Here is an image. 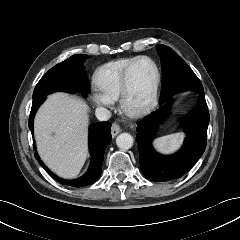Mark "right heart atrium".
Instances as JSON below:
<instances>
[{
  "instance_id": "right-heart-atrium-1",
  "label": "right heart atrium",
  "mask_w": 240,
  "mask_h": 240,
  "mask_svg": "<svg viewBox=\"0 0 240 240\" xmlns=\"http://www.w3.org/2000/svg\"><path fill=\"white\" fill-rule=\"evenodd\" d=\"M92 97L95 104L99 107L108 108L113 104V100L107 97L97 88H93Z\"/></svg>"
}]
</instances>
